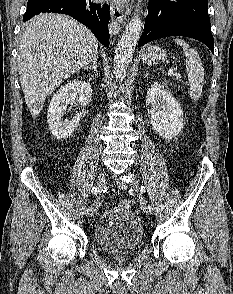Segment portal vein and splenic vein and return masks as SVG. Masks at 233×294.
Segmentation results:
<instances>
[{
  "label": "portal vein and splenic vein",
  "instance_id": "obj_1",
  "mask_svg": "<svg viewBox=\"0 0 233 294\" xmlns=\"http://www.w3.org/2000/svg\"><path fill=\"white\" fill-rule=\"evenodd\" d=\"M168 76H175L177 79H181L182 78V76L180 75V74H178V73H174V70L173 69H170L169 71H168Z\"/></svg>",
  "mask_w": 233,
  "mask_h": 294
}]
</instances>
